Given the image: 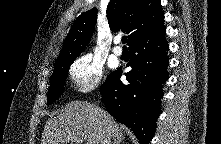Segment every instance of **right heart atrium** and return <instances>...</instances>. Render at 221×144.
<instances>
[{
	"instance_id": "1",
	"label": "right heart atrium",
	"mask_w": 221,
	"mask_h": 144,
	"mask_svg": "<svg viewBox=\"0 0 221 144\" xmlns=\"http://www.w3.org/2000/svg\"><path fill=\"white\" fill-rule=\"evenodd\" d=\"M69 74L76 91L85 94L101 84L103 66L92 55L85 54L71 64Z\"/></svg>"
}]
</instances>
